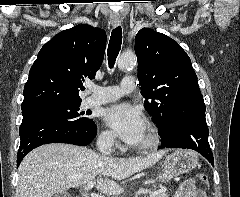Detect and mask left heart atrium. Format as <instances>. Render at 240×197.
I'll list each match as a JSON object with an SVG mask.
<instances>
[{
  "instance_id": "left-heart-atrium-1",
  "label": "left heart atrium",
  "mask_w": 240,
  "mask_h": 197,
  "mask_svg": "<svg viewBox=\"0 0 240 197\" xmlns=\"http://www.w3.org/2000/svg\"><path fill=\"white\" fill-rule=\"evenodd\" d=\"M105 123L129 144H136L146 130V121L140 109L129 103H118L103 112Z\"/></svg>"
}]
</instances>
